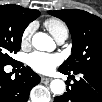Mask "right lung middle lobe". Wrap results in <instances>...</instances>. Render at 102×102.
Returning <instances> with one entry per match:
<instances>
[{
  "mask_svg": "<svg viewBox=\"0 0 102 102\" xmlns=\"http://www.w3.org/2000/svg\"><path fill=\"white\" fill-rule=\"evenodd\" d=\"M30 18L19 11L0 6V65L13 64L14 60L9 56L12 52L20 50L21 39L25 28L31 22Z\"/></svg>",
  "mask_w": 102,
  "mask_h": 102,
  "instance_id": "right-lung-middle-lobe-1",
  "label": "right lung middle lobe"
}]
</instances>
